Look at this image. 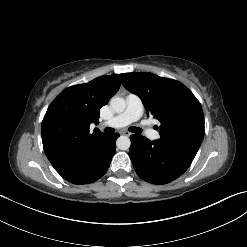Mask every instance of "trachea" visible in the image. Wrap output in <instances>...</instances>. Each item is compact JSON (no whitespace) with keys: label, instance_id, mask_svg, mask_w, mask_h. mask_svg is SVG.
I'll list each match as a JSON object with an SVG mask.
<instances>
[{"label":"trachea","instance_id":"1","mask_svg":"<svg viewBox=\"0 0 247 247\" xmlns=\"http://www.w3.org/2000/svg\"><path fill=\"white\" fill-rule=\"evenodd\" d=\"M115 130L113 128L107 127L104 129L105 133H113ZM129 131L133 132V133H140L142 131V129L137 128V127H130Z\"/></svg>","mask_w":247,"mask_h":247}]
</instances>
